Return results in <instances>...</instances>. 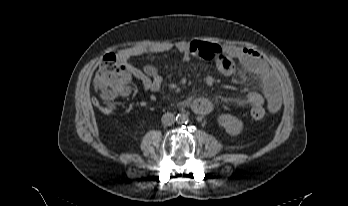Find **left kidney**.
<instances>
[{"instance_id": "1", "label": "left kidney", "mask_w": 348, "mask_h": 206, "mask_svg": "<svg viewBox=\"0 0 348 206\" xmlns=\"http://www.w3.org/2000/svg\"><path fill=\"white\" fill-rule=\"evenodd\" d=\"M218 123L232 136L240 134L243 129V122L230 114L220 115L218 117Z\"/></svg>"}]
</instances>
